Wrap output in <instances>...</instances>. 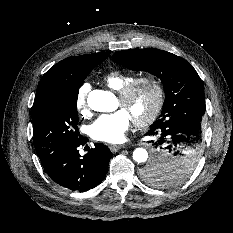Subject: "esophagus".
Segmentation results:
<instances>
[{"instance_id": "esophagus-1", "label": "esophagus", "mask_w": 233, "mask_h": 233, "mask_svg": "<svg viewBox=\"0 0 233 233\" xmlns=\"http://www.w3.org/2000/svg\"><path fill=\"white\" fill-rule=\"evenodd\" d=\"M123 146L122 145H110V150L112 152H117L119 151Z\"/></svg>"}]
</instances>
